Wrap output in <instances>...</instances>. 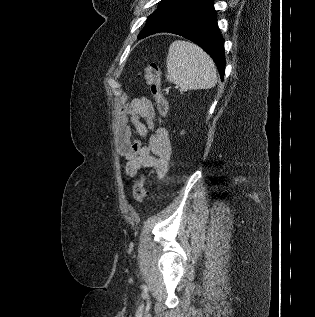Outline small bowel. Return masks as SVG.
I'll return each mask as SVG.
<instances>
[{
  "instance_id": "c3829d8e",
  "label": "small bowel",
  "mask_w": 315,
  "mask_h": 317,
  "mask_svg": "<svg viewBox=\"0 0 315 317\" xmlns=\"http://www.w3.org/2000/svg\"><path fill=\"white\" fill-rule=\"evenodd\" d=\"M143 120V121H142ZM143 143L138 137H146ZM116 153L127 160L126 172L135 176L141 168L150 169L162 179L171 159V142L163 127H156L154 108L146 99H137L123 106L114 121Z\"/></svg>"
}]
</instances>
